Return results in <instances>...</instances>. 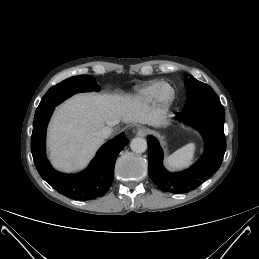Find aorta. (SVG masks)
I'll return each mask as SVG.
<instances>
[{
    "label": "aorta",
    "instance_id": "aorta-1",
    "mask_svg": "<svg viewBox=\"0 0 259 259\" xmlns=\"http://www.w3.org/2000/svg\"><path fill=\"white\" fill-rule=\"evenodd\" d=\"M130 148L135 153H144L147 150V141L144 138L136 137L131 140Z\"/></svg>",
    "mask_w": 259,
    "mask_h": 259
}]
</instances>
